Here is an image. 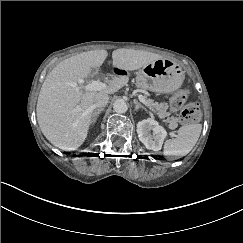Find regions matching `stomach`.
I'll return each instance as SVG.
<instances>
[{"instance_id":"obj_1","label":"stomach","mask_w":243,"mask_h":243,"mask_svg":"<svg viewBox=\"0 0 243 243\" xmlns=\"http://www.w3.org/2000/svg\"><path fill=\"white\" fill-rule=\"evenodd\" d=\"M183 80V70L177 64L158 59L138 71L136 84L145 91L171 92L178 89Z\"/></svg>"}]
</instances>
